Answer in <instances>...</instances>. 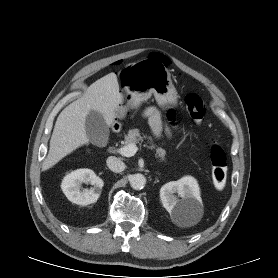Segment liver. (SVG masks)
Returning <instances> with one entry per match:
<instances>
[{
  "instance_id": "liver-1",
  "label": "liver",
  "mask_w": 278,
  "mask_h": 278,
  "mask_svg": "<svg viewBox=\"0 0 278 278\" xmlns=\"http://www.w3.org/2000/svg\"><path fill=\"white\" fill-rule=\"evenodd\" d=\"M123 100L115 73H109L91 84L81 98L72 102L59 114L42 170H48L65 156L89 143L85 121L90 110L99 112L107 126L113 127Z\"/></svg>"
}]
</instances>
